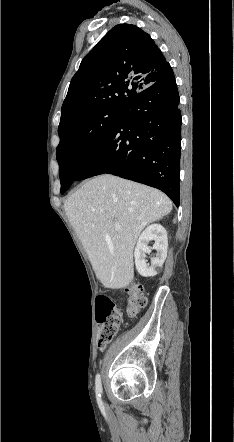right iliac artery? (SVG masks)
Listing matches in <instances>:
<instances>
[{
  "label": "right iliac artery",
  "instance_id": "obj_1",
  "mask_svg": "<svg viewBox=\"0 0 234 442\" xmlns=\"http://www.w3.org/2000/svg\"><path fill=\"white\" fill-rule=\"evenodd\" d=\"M95 391L97 395V400L101 402L102 384H101L100 374H97L95 378Z\"/></svg>",
  "mask_w": 234,
  "mask_h": 442
}]
</instances>
